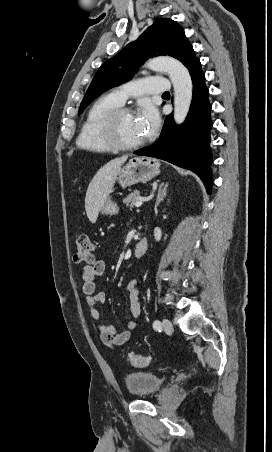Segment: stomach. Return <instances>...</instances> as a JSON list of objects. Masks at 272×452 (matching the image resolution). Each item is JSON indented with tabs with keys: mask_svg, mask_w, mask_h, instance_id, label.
I'll list each match as a JSON object with an SVG mask.
<instances>
[{
	"mask_svg": "<svg viewBox=\"0 0 272 452\" xmlns=\"http://www.w3.org/2000/svg\"><path fill=\"white\" fill-rule=\"evenodd\" d=\"M160 173V163L153 158L133 157L123 166L116 178L120 186L129 187L136 183H146ZM100 212L105 215H117L119 207L110 198L102 205Z\"/></svg>",
	"mask_w": 272,
	"mask_h": 452,
	"instance_id": "stomach-1",
	"label": "stomach"
}]
</instances>
